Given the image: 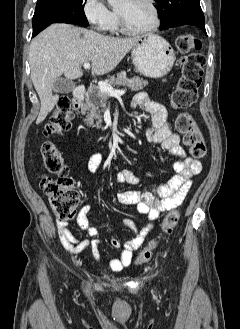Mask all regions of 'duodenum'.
Wrapping results in <instances>:
<instances>
[{"label": "duodenum", "instance_id": "duodenum-1", "mask_svg": "<svg viewBox=\"0 0 240 329\" xmlns=\"http://www.w3.org/2000/svg\"><path fill=\"white\" fill-rule=\"evenodd\" d=\"M84 95H85L84 85L77 86L73 92V99H72L73 109L75 112L79 111L84 100Z\"/></svg>", "mask_w": 240, "mask_h": 329}]
</instances>
